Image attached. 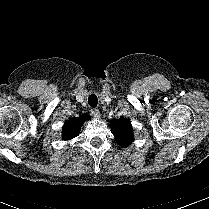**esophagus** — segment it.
Listing matches in <instances>:
<instances>
[{
    "instance_id": "1",
    "label": "esophagus",
    "mask_w": 209,
    "mask_h": 209,
    "mask_svg": "<svg viewBox=\"0 0 209 209\" xmlns=\"http://www.w3.org/2000/svg\"><path fill=\"white\" fill-rule=\"evenodd\" d=\"M91 113H92V115H93L95 118H97V119H99L100 116H101L100 111H99L98 109H96V108L91 109Z\"/></svg>"
}]
</instances>
